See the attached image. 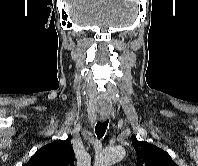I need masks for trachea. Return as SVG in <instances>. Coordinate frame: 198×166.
Returning a JSON list of instances; mask_svg holds the SVG:
<instances>
[{"mask_svg": "<svg viewBox=\"0 0 198 166\" xmlns=\"http://www.w3.org/2000/svg\"><path fill=\"white\" fill-rule=\"evenodd\" d=\"M109 120H105L103 122L98 121L95 126V133L99 138H102L107 130Z\"/></svg>", "mask_w": 198, "mask_h": 166, "instance_id": "obj_1", "label": "trachea"}]
</instances>
